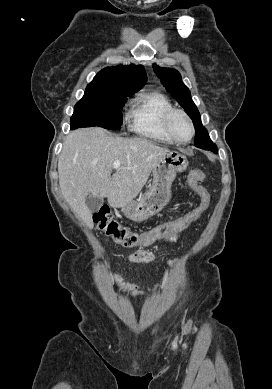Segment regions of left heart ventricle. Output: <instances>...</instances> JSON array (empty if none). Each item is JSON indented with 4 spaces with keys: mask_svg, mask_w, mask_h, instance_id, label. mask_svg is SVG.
Wrapping results in <instances>:
<instances>
[{
    "mask_svg": "<svg viewBox=\"0 0 272 389\" xmlns=\"http://www.w3.org/2000/svg\"><path fill=\"white\" fill-rule=\"evenodd\" d=\"M171 126L174 134L179 139L186 140L190 137V126L182 115H175L171 121Z\"/></svg>",
    "mask_w": 272,
    "mask_h": 389,
    "instance_id": "b2bd125f",
    "label": "left heart ventricle"
}]
</instances>
